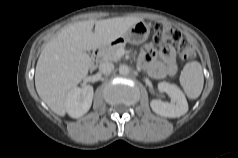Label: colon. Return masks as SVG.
<instances>
[{"label":"colon","mask_w":238,"mask_h":158,"mask_svg":"<svg viewBox=\"0 0 238 158\" xmlns=\"http://www.w3.org/2000/svg\"><path fill=\"white\" fill-rule=\"evenodd\" d=\"M153 41L157 45L176 44L179 57L188 61L196 57V51L192 44L183 37L182 33L166 23H156L154 25Z\"/></svg>","instance_id":"5ec220e1"}]
</instances>
